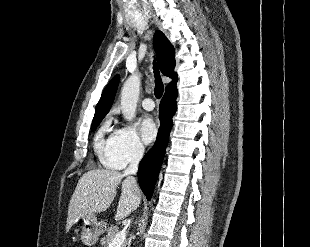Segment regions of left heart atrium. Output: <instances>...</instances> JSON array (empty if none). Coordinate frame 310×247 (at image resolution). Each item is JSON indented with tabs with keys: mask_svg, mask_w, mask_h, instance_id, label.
I'll list each match as a JSON object with an SVG mask.
<instances>
[{
	"mask_svg": "<svg viewBox=\"0 0 310 247\" xmlns=\"http://www.w3.org/2000/svg\"><path fill=\"white\" fill-rule=\"evenodd\" d=\"M157 134V128L154 121L150 117H144L141 121V135L146 143L154 140Z\"/></svg>",
	"mask_w": 310,
	"mask_h": 247,
	"instance_id": "obj_1",
	"label": "left heart atrium"
}]
</instances>
